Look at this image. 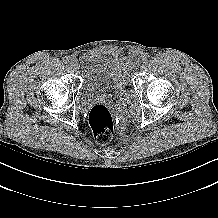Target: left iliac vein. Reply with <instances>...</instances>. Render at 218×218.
Wrapping results in <instances>:
<instances>
[{
    "instance_id": "1",
    "label": "left iliac vein",
    "mask_w": 218,
    "mask_h": 218,
    "mask_svg": "<svg viewBox=\"0 0 218 218\" xmlns=\"http://www.w3.org/2000/svg\"><path fill=\"white\" fill-rule=\"evenodd\" d=\"M140 61L139 60H136L134 63H133V66L134 67H138V63H139Z\"/></svg>"
}]
</instances>
